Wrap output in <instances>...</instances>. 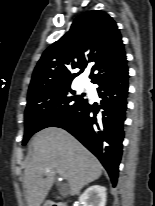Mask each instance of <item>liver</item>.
Wrapping results in <instances>:
<instances>
[{
    "mask_svg": "<svg viewBox=\"0 0 155 206\" xmlns=\"http://www.w3.org/2000/svg\"><path fill=\"white\" fill-rule=\"evenodd\" d=\"M32 146L34 152L24 171L28 206H41L56 173L65 175L72 196L102 174L98 159L63 129L41 130L33 137Z\"/></svg>",
    "mask_w": 155,
    "mask_h": 206,
    "instance_id": "obj_1",
    "label": "liver"
}]
</instances>
